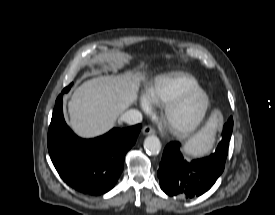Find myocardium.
<instances>
[{
	"label": "myocardium",
	"instance_id": "1",
	"mask_svg": "<svg viewBox=\"0 0 275 215\" xmlns=\"http://www.w3.org/2000/svg\"><path fill=\"white\" fill-rule=\"evenodd\" d=\"M194 96H199L201 98V106L200 111L197 117L187 125L177 124L174 120L175 112L190 98ZM210 108V97L208 93L202 89L201 87H196L193 89H189L180 93L173 100L167 103L165 112H164V120L169 131L180 138H186L196 132L200 126L203 124L206 116L208 114Z\"/></svg>",
	"mask_w": 275,
	"mask_h": 215
}]
</instances>
